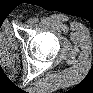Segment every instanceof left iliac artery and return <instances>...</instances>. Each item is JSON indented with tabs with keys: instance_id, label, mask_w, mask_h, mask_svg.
Instances as JSON below:
<instances>
[{
	"instance_id": "44dca946",
	"label": "left iliac artery",
	"mask_w": 93,
	"mask_h": 93,
	"mask_svg": "<svg viewBox=\"0 0 93 93\" xmlns=\"http://www.w3.org/2000/svg\"><path fill=\"white\" fill-rule=\"evenodd\" d=\"M34 23H38L39 22V19L38 18H34Z\"/></svg>"
}]
</instances>
